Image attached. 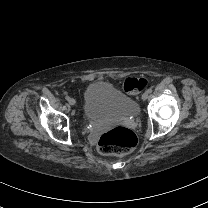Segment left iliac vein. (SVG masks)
Here are the masks:
<instances>
[{
    "mask_svg": "<svg viewBox=\"0 0 208 208\" xmlns=\"http://www.w3.org/2000/svg\"><path fill=\"white\" fill-rule=\"evenodd\" d=\"M148 97H149V93L145 92V93L142 94V99L143 100H147Z\"/></svg>",
    "mask_w": 208,
    "mask_h": 208,
    "instance_id": "4c4485c4",
    "label": "left iliac vein"
}]
</instances>
